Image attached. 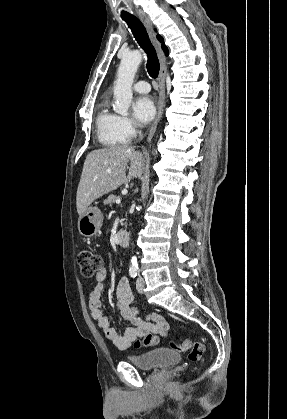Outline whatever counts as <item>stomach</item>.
Listing matches in <instances>:
<instances>
[{"label":"stomach","instance_id":"obj_1","mask_svg":"<svg viewBox=\"0 0 287 419\" xmlns=\"http://www.w3.org/2000/svg\"><path fill=\"white\" fill-rule=\"evenodd\" d=\"M103 221L101 210L97 206H90L78 220V230L85 237L97 235Z\"/></svg>","mask_w":287,"mask_h":419}]
</instances>
